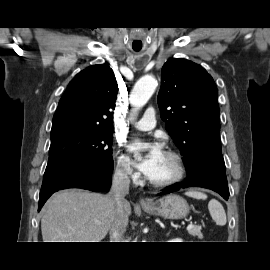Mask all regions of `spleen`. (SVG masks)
<instances>
[{
	"label": "spleen",
	"mask_w": 270,
	"mask_h": 270,
	"mask_svg": "<svg viewBox=\"0 0 270 270\" xmlns=\"http://www.w3.org/2000/svg\"><path fill=\"white\" fill-rule=\"evenodd\" d=\"M185 194L194 199H207V195L199 191H187ZM208 209L212 219L217 225L224 226L226 224V213L219 201L216 199H211L208 203Z\"/></svg>",
	"instance_id": "1"
}]
</instances>
